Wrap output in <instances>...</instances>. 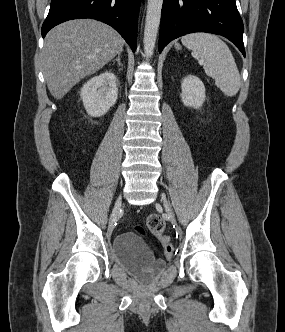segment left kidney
I'll return each instance as SVG.
<instances>
[{"label":"left kidney","instance_id":"5707ae66","mask_svg":"<svg viewBox=\"0 0 285 332\" xmlns=\"http://www.w3.org/2000/svg\"><path fill=\"white\" fill-rule=\"evenodd\" d=\"M181 100L187 107L200 108L205 101V86L195 75H188L181 83Z\"/></svg>","mask_w":285,"mask_h":332}]
</instances>
